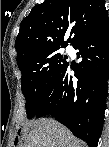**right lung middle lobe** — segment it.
I'll return each mask as SVG.
<instances>
[{
	"label": "right lung middle lobe",
	"mask_w": 109,
	"mask_h": 147,
	"mask_svg": "<svg viewBox=\"0 0 109 147\" xmlns=\"http://www.w3.org/2000/svg\"><path fill=\"white\" fill-rule=\"evenodd\" d=\"M58 50L45 52L35 61L19 68L28 119L37 115L49 90L67 65L66 57Z\"/></svg>",
	"instance_id": "dd1d6c3e"
}]
</instances>
